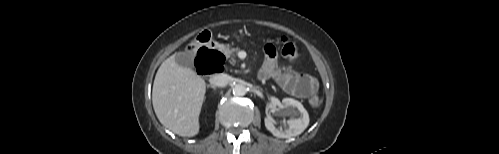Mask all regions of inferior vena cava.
Masks as SVG:
<instances>
[{"instance_id": "obj_1", "label": "inferior vena cava", "mask_w": 499, "mask_h": 154, "mask_svg": "<svg viewBox=\"0 0 499 154\" xmlns=\"http://www.w3.org/2000/svg\"><path fill=\"white\" fill-rule=\"evenodd\" d=\"M230 81H231V77L229 75L223 74V73L212 75L209 79V82L211 85L218 86V87H224L227 84H229Z\"/></svg>"}]
</instances>
